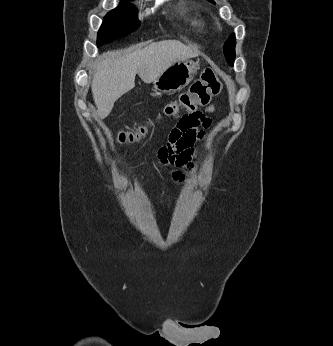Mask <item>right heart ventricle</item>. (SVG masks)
<instances>
[{
	"instance_id": "1",
	"label": "right heart ventricle",
	"mask_w": 333,
	"mask_h": 346,
	"mask_svg": "<svg viewBox=\"0 0 333 346\" xmlns=\"http://www.w3.org/2000/svg\"><path fill=\"white\" fill-rule=\"evenodd\" d=\"M181 10L187 13L186 21L193 30L205 32L210 28L209 20L201 11L190 9L187 6H182Z\"/></svg>"
}]
</instances>
